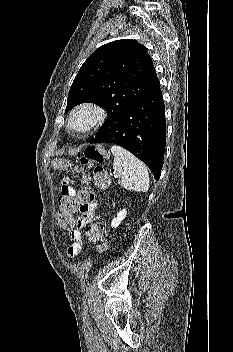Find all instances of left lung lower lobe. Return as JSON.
Here are the masks:
<instances>
[{
    "instance_id": "1",
    "label": "left lung lower lobe",
    "mask_w": 233,
    "mask_h": 352,
    "mask_svg": "<svg viewBox=\"0 0 233 352\" xmlns=\"http://www.w3.org/2000/svg\"><path fill=\"white\" fill-rule=\"evenodd\" d=\"M90 143H113L142 160L159 180L166 144L163 96L158 85L143 99L125 109L105 132Z\"/></svg>"
}]
</instances>
